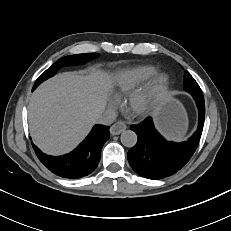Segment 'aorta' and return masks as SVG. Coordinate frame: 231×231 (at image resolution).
<instances>
[{
  "label": "aorta",
  "instance_id": "762f6f07",
  "mask_svg": "<svg viewBox=\"0 0 231 231\" xmlns=\"http://www.w3.org/2000/svg\"><path fill=\"white\" fill-rule=\"evenodd\" d=\"M120 139L124 146L133 147L137 143V134L132 130H126L122 132Z\"/></svg>",
  "mask_w": 231,
  "mask_h": 231
}]
</instances>
